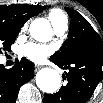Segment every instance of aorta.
Wrapping results in <instances>:
<instances>
[{
    "mask_svg": "<svg viewBox=\"0 0 103 103\" xmlns=\"http://www.w3.org/2000/svg\"><path fill=\"white\" fill-rule=\"evenodd\" d=\"M30 34L36 40H48L51 35L50 23L44 18L35 19L30 25ZM60 83L61 77L54 69H41L36 75V84L45 93H55L59 89Z\"/></svg>",
    "mask_w": 103,
    "mask_h": 103,
    "instance_id": "762f6f07",
    "label": "aorta"
}]
</instances>
